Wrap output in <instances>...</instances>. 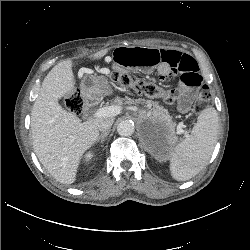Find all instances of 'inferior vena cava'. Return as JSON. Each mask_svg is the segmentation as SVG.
<instances>
[{"instance_id": "602c4592", "label": "inferior vena cava", "mask_w": 250, "mask_h": 250, "mask_svg": "<svg viewBox=\"0 0 250 250\" xmlns=\"http://www.w3.org/2000/svg\"><path fill=\"white\" fill-rule=\"evenodd\" d=\"M113 122H114L113 118L102 119L98 124L99 131H101L103 133L110 131V128H111Z\"/></svg>"}]
</instances>
